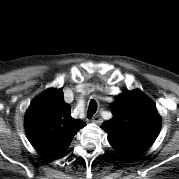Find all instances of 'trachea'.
I'll return each instance as SVG.
<instances>
[{
	"mask_svg": "<svg viewBox=\"0 0 179 179\" xmlns=\"http://www.w3.org/2000/svg\"><path fill=\"white\" fill-rule=\"evenodd\" d=\"M97 110V103L94 100H91L88 106V111H87V117L91 118Z\"/></svg>",
	"mask_w": 179,
	"mask_h": 179,
	"instance_id": "trachea-1",
	"label": "trachea"
}]
</instances>
